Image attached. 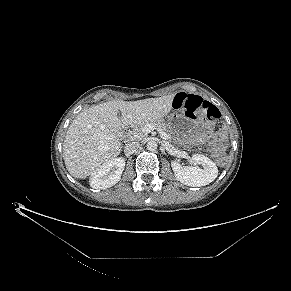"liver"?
<instances>
[{
    "instance_id": "6515ba94",
    "label": "liver",
    "mask_w": 291,
    "mask_h": 291,
    "mask_svg": "<svg viewBox=\"0 0 291 291\" xmlns=\"http://www.w3.org/2000/svg\"><path fill=\"white\" fill-rule=\"evenodd\" d=\"M175 94L137 101L115 100L83 110L70 124L63 143L68 172L86 178L121 152L117 138L106 139L127 125L157 120L172 110ZM121 116H118V113Z\"/></svg>"
}]
</instances>
